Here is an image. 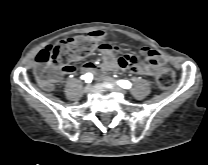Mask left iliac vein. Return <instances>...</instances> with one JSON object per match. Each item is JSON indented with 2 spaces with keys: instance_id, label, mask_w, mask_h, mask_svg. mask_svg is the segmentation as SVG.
Instances as JSON below:
<instances>
[{
  "instance_id": "4c4485c4",
  "label": "left iliac vein",
  "mask_w": 208,
  "mask_h": 165,
  "mask_svg": "<svg viewBox=\"0 0 208 165\" xmlns=\"http://www.w3.org/2000/svg\"><path fill=\"white\" fill-rule=\"evenodd\" d=\"M103 81L107 84H110L112 86L118 87V85L113 81V79L109 78V77H105L103 78Z\"/></svg>"
}]
</instances>
